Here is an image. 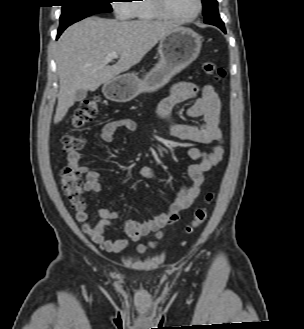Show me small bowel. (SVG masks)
Returning a JSON list of instances; mask_svg holds the SVG:
<instances>
[{
    "label": "small bowel",
    "instance_id": "c3829d8e",
    "mask_svg": "<svg viewBox=\"0 0 304 329\" xmlns=\"http://www.w3.org/2000/svg\"><path fill=\"white\" fill-rule=\"evenodd\" d=\"M193 101L187 109V116L191 119L201 118L199 126L176 123L171 120L172 109L183 102ZM157 116L166 124L168 134L178 140L189 141L200 144L216 145L212 151H204L199 148H190L188 155L196 160L188 168V176L191 181L189 186H180L177 193L170 199L168 207L154 217L138 222L128 218H123L118 211L101 208L98 211L100 220L92 224L89 220V213L85 198L74 206L76 220L82 225V230L90 239L106 252L120 253L125 251L131 243L151 232L155 233V239L136 246L138 254L157 247L158 242L163 237V229L167 225L176 222L180 213L189 208L199 196L202 184L205 181V174L216 166L223 158V136L220 130L221 103L219 96L211 85H197L195 83L183 82L175 85L169 95L164 98L157 107ZM136 124L128 118H119L107 122L98 134L100 143H110L117 130H134ZM81 155L77 152L68 155V163L71 168L85 176V190L88 192H99L102 189L100 174L89 169L81 163ZM138 175L142 179H151L154 170L151 166H142L138 170ZM118 223L122 226L127 238L115 241L104 238L105 228Z\"/></svg>",
    "mask_w": 304,
    "mask_h": 329
}]
</instances>
